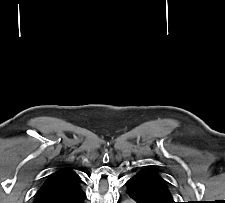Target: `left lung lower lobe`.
<instances>
[{
  "label": "left lung lower lobe",
  "mask_w": 225,
  "mask_h": 203,
  "mask_svg": "<svg viewBox=\"0 0 225 203\" xmlns=\"http://www.w3.org/2000/svg\"><path fill=\"white\" fill-rule=\"evenodd\" d=\"M125 188L127 195L137 203H158L154 199L148 197L132 179L127 180Z\"/></svg>",
  "instance_id": "obj_1"
}]
</instances>
